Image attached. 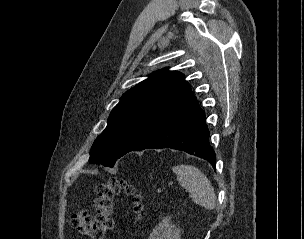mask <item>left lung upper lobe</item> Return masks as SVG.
<instances>
[{
  "label": "left lung upper lobe",
  "mask_w": 304,
  "mask_h": 239,
  "mask_svg": "<svg viewBox=\"0 0 304 239\" xmlns=\"http://www.w3.org/2000/svg\"><path fill=\"white\" fill-rule=\"evenodd\" d=\"M196 101L182 73L151 74L123 94L114 107L107 127L93 143L90 163L113 167L117 159Z\"/></svg>",
  "instance_id": "left-lung-upper-lobe-1"
}]
</instances>
